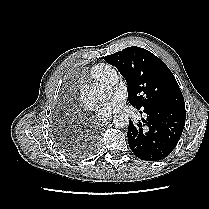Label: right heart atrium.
I'll return each mask as SVG.
<instances>
[{"mask_svg": "<svg viewBox=\"0 0 209 209\" xmlns=\"http://www.w3.org/2000/svg\"><path fill=\"white\" fill-rule=\"evenodd\" d=\"M79 99L82 103V105L87 108V109H90L91 108V104L88 100V97H87V91L85 88H81L80 92H79Z\"/></svg>", "mask_w": 209, "mask_h": 209, "instance_id": "1", "label": "right heart atrium"}]
</instances>
